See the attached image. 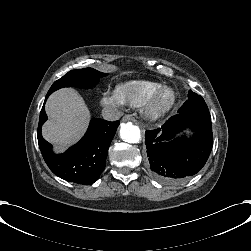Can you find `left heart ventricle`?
<instances>
[{"mask_svg":"<svg viewBox=\"0 0 251 251\" xmlns=\"http://www.w3.org/2000/svg\"><path fill=\"white\" fill-rule=\"evenodd\" d=\"M175 99L174 90L170 86L162 88L157 97V104L159 106H167Z\"/></svg>","mask_w":251,"mask_h":251,"instance_id":"obj_1","label":"left heart ventricle"}]
</instances>
